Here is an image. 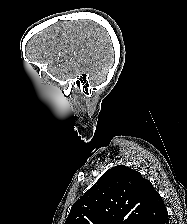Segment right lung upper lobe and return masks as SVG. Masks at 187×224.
<instances>
[{
  "label": "right lung upper lobe",
  "mask_w": 187,
  "mask_h": 224,
  "mask_svg": "<svg viewBox=\"0 0 187 224\" xmlns=\"http://www.w3.org/2000/svg\"><path fill=\"white\" fill-rule=\"evenodd\" d=\"M166 214L151 182L138 171L118 165L73 204L65 224H157Z\"/></svg>",
  "instance_id": "cb5924a9"
}]
</instances>
